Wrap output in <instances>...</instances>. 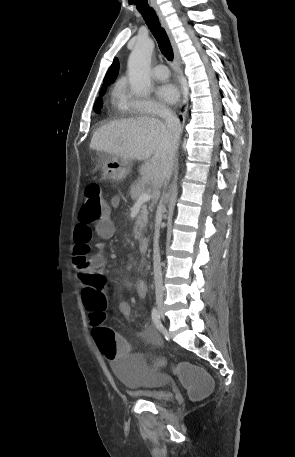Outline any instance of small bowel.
<instances>
[{
  "mask_svg": "<svg viewBox=\"0 0 295 457\" xmlns=\"http://www.w3.org/2000/svg\"><path fill=\"white\" fill-rule=\"evenodd\" d=\"M120 205V197L113 196L108 204L109 213L102 219H100L92 228L88 225L78 224L75 228V247L86 246L90 250L91 240L93 233L102 239L109 240L115 234V226L110 218V210L118 208ZM94 246L98 249V252L88 256L87 266L85 269H78L76 278L82 285L83 290L87 287V273L102 274L103 268L106 262V256L104 253V243L98 242ZM89 254V253H88ZM136 291L140 298L145 299L147 296V285L144 281L139 280L136 283ZM119 311L124 317H130L132 313L131 304L127 301H122L119 304ZM144 334L150 339H157L158 335L155 328L150 323H146L144 326ZM126 341V340H125ZM99 348V347H98ZM128 358V355H127ZM112 361V360H111ZM113 362V361H112Z\"/></svg>",
  "mask_w": 295,
  "mask_h": 457,
  "instance_id": "c3829d8e",
  "label": "small bowel"
}]
</instances>
